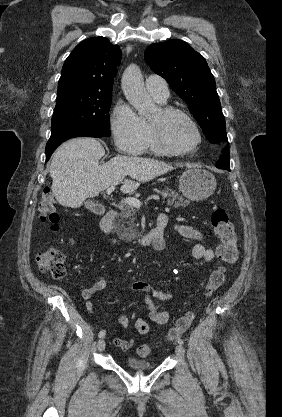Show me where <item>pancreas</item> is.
<instances>
[{
  "instance_id": "1",
  "label": "pancreas",
  "mask_w": 282,
  "mask_h": 417,
  "mask_svg": "<svg viewBox=\"0 0 282 417\" xmlns=\"http://www.w3.org/2000/svg\"><path fill=\"white\" fill-rule=\"evenodd\" d=\"M156 192H161L163 198H167V204H173L175 209H178V206H188L191 200H187V198H183L182 194H178L169 186H165L164 190H156ZM118 209H120L121 213L118 215L117 219V235L121 241H126V243H130L132 239H136V237H140L141 233H139L138 229H136L137 221L136 209L135 206L132 204H127V202H121L119 204Z\"/></svg>"
}]
</instances>
